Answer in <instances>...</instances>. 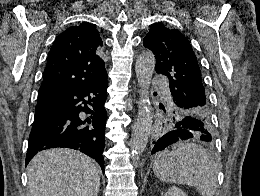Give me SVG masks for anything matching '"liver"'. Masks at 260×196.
I'll list each match as a JSON object with an SVG mask.
<instances>
[{
	"instance_id": "6515ba94",
	"label": "liver",
	"mask_w": 260,
	"mask_h": 196,
	"mask_svg": "<svg viewBox=\"0 0 260 196\" xmlns=\"http://www.w3.org/2000/svg\"><path fill=\"white\" fill-rule=\"evenodd\" d=\"M29 196H98L97 164L76 150L39 152L27 166Z\"/></svg>"
}]
</instances>
